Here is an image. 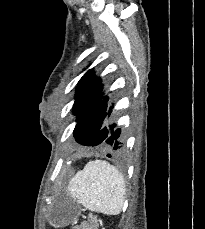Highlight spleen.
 Masks as SVG:
<instances>
[{
    "label": "spleen",
    "mask_w": 205,
    "mask_h": 229,
    "mask_svg": "<svg viewBox=\"0 0 205 229\" xmlns=\"http://www.w3.org/2000/svg\"><path fill=\"white\" fill-rule=\"evenodd\" d=\"M68 192L85 208L107 215L121 212L125 201V181L122 174L104 160L88 162L69 181Z\"/></svg>",
    "instance_id": "spleen-1"
}]
</instances>
